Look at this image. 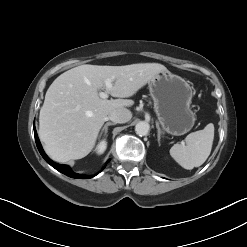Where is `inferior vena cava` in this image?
I'll return each instance as SVG.
<instances>
[{
    "mask_svg": "<svg viewBox=\"0 0 247 247\" xmlns=\"http://www.w3.org/2000/svg\"><path fill=\"white\" fill-rule=\"evenodd\" d=\"M131 117V112L126 108L113 109L108 115V118L114 123H126Z\"/></svg>",
    "mask_w": 247,
    "mask_h": 247,
    "instance_id": "inferior-vena-cava-1",
    "label": "inferior vena cava"
}]
</instances>
